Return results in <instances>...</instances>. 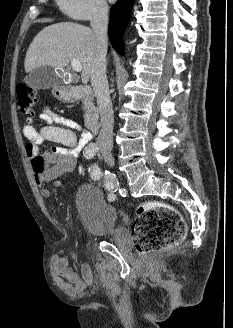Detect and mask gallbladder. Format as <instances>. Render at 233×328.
Here are the masks:
<instances>
[{"instance_id":"gallbladder-1","label":"gallbladder","mask_w":233,"mask_h":328,"mask_svg":"<svg viewBox=\"0 0 233 328\" xmlns=\"http://www.w3.org/2000/svg\"><path fill=\"white\" fill-rule=\"evenodd\" d=\"M24 82L33 89H50L60 83L54 67L45 65L30 72Z\"/></svg>"}]
</instances>
